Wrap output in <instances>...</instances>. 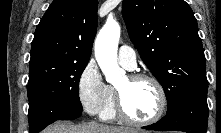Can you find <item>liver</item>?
<instances>
[{"label": "liver", "mask_w": 221, "mask_h": 133, "mask_svg": "<svg viewBox=\"0 0 221 133\" xmlns=\"http://www.w3.org/2000/svg\"><path fill=\"white\" fill-rule=\"evenodd\" d=\"M42 133H137V130L107 126L96 122L75 125L71 122L58 121L47 127Z\"/></svg>", "instance_id": "6515ba94"}]
</instances>
